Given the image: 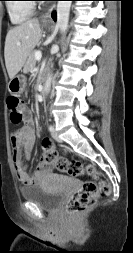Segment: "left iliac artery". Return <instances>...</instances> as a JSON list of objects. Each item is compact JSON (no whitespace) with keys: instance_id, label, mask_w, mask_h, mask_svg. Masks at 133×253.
I'll return each mask as SVG.
<instances>
[{"instance_id":"left-iliac-artery-1","label":"left iliac artery","mask_w":133,"mask_h":253,"mask_svg":"<svg viewBox=\"0 0 133 253\" xmlns=\"http://www.w3.org/2000/svg\"><path fill=\"white\" fill-rule=\"evenodd\" d=\"M49 130L52 132L54 130V127L52 125H50Z\"/></svg>"}]
</instances>
